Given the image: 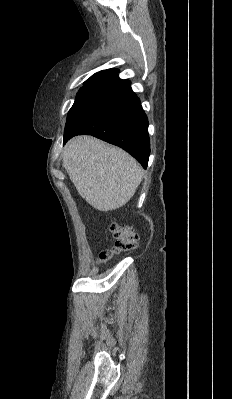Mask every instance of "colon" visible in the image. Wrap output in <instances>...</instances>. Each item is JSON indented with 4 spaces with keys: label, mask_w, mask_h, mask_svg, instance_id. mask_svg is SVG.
Returning <instances> with one entry per match:
<instances>
[{
    "label": "colon",
    "mask_w": 232,
    "mask_h": 399,
    "mask_svg": "<svg viewBox=\"0 0 232 399\" xmlns=\"http://www.w3.org/2000/svg\"><path fill=\"white\" fill-rule=\"evenodd\" d=\"M98 220H103V211H98ZM122 228H127V223H122ZM108 231L112 232V247L115 249H120V253L124 254L125 249H129L130 251L137 250V232L129 229H121V224L117 223L116 228H113V224H108ZM109 258H113V253H109L108 251L100 252L99 256H96V261H101V259L108 260Z\"/></svg>",
    "instance_id": "colon-1"
}]
</instances>
